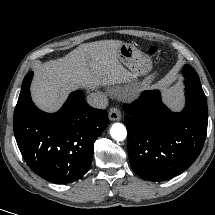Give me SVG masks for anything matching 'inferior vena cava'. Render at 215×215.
<instances>
[{"label":"inferior vena cava","mask_w":215,"mask_h":215,"mask_svg":"<svg viewBox=\"0 0 215 215\" xmlns=\"http://www.w3.org/2000/svg\"><path fill=\"white\" fill-rule=\"evenodd\" d=\"M89 105L99 109H105L108 105L107 96L102 92L91 93L87 96Z\"/></svg>","instance_id":"1"}]
</instances>
